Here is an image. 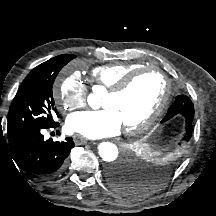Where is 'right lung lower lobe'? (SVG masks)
<instances>
[{
    "label": "right lung lower lobe",
    "instance_id": "obj_1",
    "mask_svg": "<svg viewBox=\"0 0 216 216\" xmlns=\"http://www.w3.org/2000/svg\"><path fill=\"white\" fill-rule=\"evenodd\" d=\"M58 126L59 123L56 122L46 128H29L7 133L9 151L22 170L36 178L48 179L64 169L66 158L74 147L73 139L67 137L62 142H54L52 139L44 141L41 134L42 129Z\"/></svg>",
    "mask_w": 216,
    "mask_h": 216
}]
</instances>
